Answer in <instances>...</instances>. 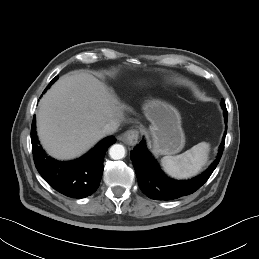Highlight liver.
I'll return each mask as SVG.
<instances>
[{
  "mask_svg": "<svg viewBox=\"0 0 259 259\" xmlns=\"http://www.w3.org/2000/svg\"><path fill=\"white\" fill-rule=\"evenodd\" d=\"M124 105L105 83L84 71L60 77L39 102L37 131L48 154L74 159L106 134L103 127L123 119Z\"/></svg>",
  "mask_w": 259,
  "mask_h": 259,
  "instance_id": "liver-1",
  "label": "liver"
}]
</instances>
